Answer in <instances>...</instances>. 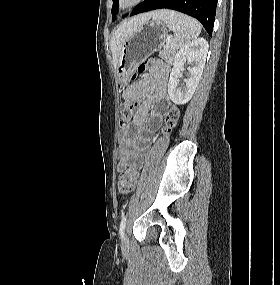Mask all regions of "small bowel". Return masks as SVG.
<instances>
[{
  "instance_id": "c3829d8e",
  "label": "small bowel",
  "mask_w": 280,
  "mask_h": 285,
  "mask_svg": "<svg viewBox=\"0 0 280 285\" xmlns=\"http://www.w3.org/2000/svg\"><path fill=\"white\" fill-rule=\"evenodd\" d=\"M169 77L170 69L165 66L158 74H146L139 82L125 90L123 97L126 100L136 99L142 95L145 96V99L138 108L133 120L139 131L124 130L120 134L119 171L125 168L135 169L137 157L151 141L156 128L154 124L147 123L151 105H160V108L155 112L156 118L163 117L169 110L170 102L167 96Z\"/></svg>"
}]
</instances>
